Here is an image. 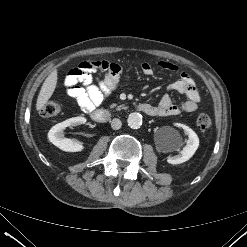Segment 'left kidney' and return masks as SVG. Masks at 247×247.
Segmentation results:
<instances>
[{
    "mask_svg": "<svg viewBox=\"0 0 247 247\" xmlns=\"http://www.w3.org/2000/svg\"><path fill=\"white\" fill-rule=\"evenodd\" d=\"M184 133L188 136V141L186 146L183 147L180 154L173 157H168V163L170 164H181L188 161L196 152L199 146V138L197 134L188 126L180 125ZM166 141L168 145L172 148H178L181 145V138L177 132L170 130L166 135Z\"/></svg>",
    "mask_w": 247,
    "mask_h": 247,
    "instance_id": "5707ae66",
    "label": "left kidney"
}]
</instances>
